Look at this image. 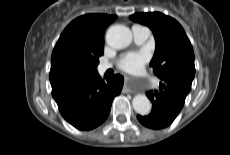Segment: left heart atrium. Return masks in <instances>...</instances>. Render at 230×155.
Wrapping results in <instances>:
<instances>
[{"mask_svg":"<svg viewBox=\"0 0 230 155\" xmlns=\"http://www.w3.org/2000/svg\"><path fill=\"white\" fill-rule=\"evenodd\" d=\"M147 60L148 55L144 52H130L120 57L118 67L126 72H135L140 70Z\"/></svg>","mask_w":230,"mask_h":155,"instance_id":"obj_1","label":"left heart atrium"}]
</instances>
